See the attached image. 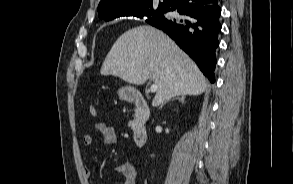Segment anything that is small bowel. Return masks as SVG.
<instances>
[{"mask_svg": "<svg viewBox=\"0 0 293 184\" xmlns=\"http://www.w3.org/2000/svg\"><path fill=\"white\" fill-rule=\"evenodd\" d=\"M114 122L112 120L98 121L94 123L93 127L98 131L102 137L103 143L107 145L114 144L117 140L116 133L113 127ZM93 143V138L90 134H86L83 137V144L85 149H89ZM115 170L122 174L125 178L124 184H136L138 180V171L132 162H125L116 166ZM86 178L91 177V168L89 165H85L83 169Z\"/></svg>", "mask_w": 293, "mask_h": 184, "instance_id": "obj_1", "label": "small bowel"}]
</instances>
